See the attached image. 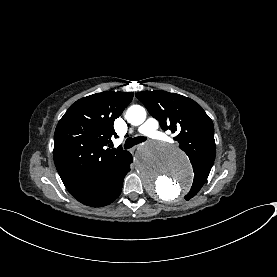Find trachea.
<instances>
[{
    "instance_id": "1",
    "label": "trachea",
    "mask_w": 277,
    "mask_h": 277,
    "mask_svg": "<svg viewBox=\"0 0 277 277\" xmlns=\"http://www.w3.org/2000/svg\"><path fill=\"white\" fill-rule=\"evenodd\" d=\"M145 140H146V137H143V136H137L134 138L129 137L125 141L124 148L129 149V148L133 147L134 145L144 142Z\"/></svg>"
}]
</instances>
